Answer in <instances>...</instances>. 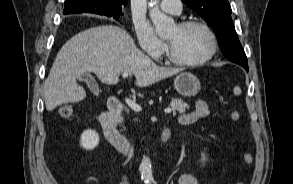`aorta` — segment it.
<instances>
[{"label":"aorta","mask_w":293,"mask_h":184,"mask_svg":"<svg viewBox=\"0 0 293 184\" xmlns=\"http://www.w3.org/2000/svg\"><path fill=\"white\" fill-rule=\"evenodd\" d=\"M155 2H157V0H155ZM150 18L152 20L153 25L155 26L156 32L159 35L167 34L174 27V20L163 14L158 8H154L153 10H151ZM139 171L144 183L152 184V165L148 157H144L142 159V162L139 166Z\"/></svg>","instance_id":"aorta-1"}]
</instances>
